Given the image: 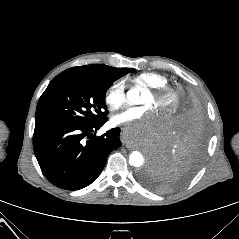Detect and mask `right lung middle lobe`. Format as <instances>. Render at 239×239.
<instances>
[{
	"instance_id": "dd1d6c3e",
	"label": "right lung middle lobe",
	"mask_w": 239,
	"mask_h": 239,
	"mask_svg": "<svg viewBox=\"0 0 239 239\" xmlns=\"http://www.w3.org/2000/svg\"><path fill=\"white\" fill-rule=\"evenodd\" d=\"M124 71L108 75L59 74L41 95L35 123L59 122L93 124L108 114L105 93L111 84L133 72Z\"/></svg>"
}]
</instances>
